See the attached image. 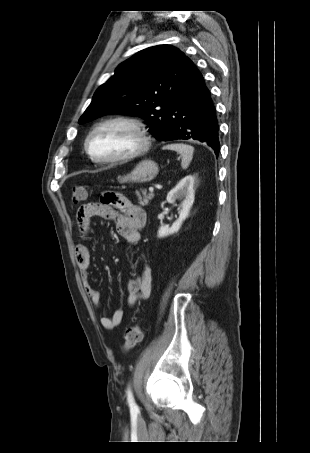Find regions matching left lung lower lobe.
Here are the masks:
<instances>
[{
  "instance_id": "0a47b994",
  "label": "left lung lower lobe",
  "mask_w": 310,
  "mask_h": 453,
  "mask_svg": "<svg viewBox=\"0 0 310 453\" xmlns=\"http://www.w3.org/2000/svg\"><path fill=\"white\" fill-rule=\"evenodd\" d=\"M161 133L160 140L193 139L205 142L217 156L219 154V124L216 109L204 78L193 62Z\"/></svg>"
}]
</instances>
